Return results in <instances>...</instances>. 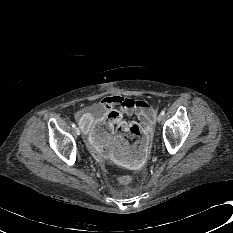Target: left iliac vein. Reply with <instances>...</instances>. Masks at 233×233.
<instances>
[{
	"label": "left iliac vein",
	"mask_w": 233,
	"mask_h": 233,
	"mask_svg": "<svg viewBox=\"0 0 233 233\" xmlns=\"http://www.w3.org/2000/svg\"><path fill=\"white\" fill-rule=\"evenodd\" d=\"M162 119H163V116H162L161 114H159V115L157 116V121H158V122H161Z\"/></svg>",
	"instance_id": "obj_1"
}]
</instances>
